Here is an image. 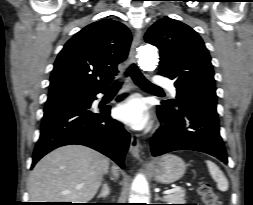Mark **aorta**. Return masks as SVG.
<instances>
[{
    "mask_svg": "<svg viewBox=\"0 0 253 205\" xmlns=\"http://www.w3.org/2000/svg\"><path fill=\"white\" fill-rule=\"evenodd\" d=\"M157 48L152 44H145L139 49V65L144 71H152L158 65ZM147 196L142 193H133L130 196V203L142 204L146 203Z\"/></svg>",
    "mask_w": 253,
    "mask_h": 205,
    "instance_id": "762f6f07",
    "label": "aorta"
}]
</instances>
